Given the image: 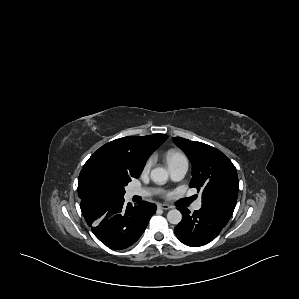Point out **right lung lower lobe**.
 <instances>
[{
	"mask_svg": "<svg viewBox=\"0 0 299 299\" xmlns=\"http://www.w3.org/2000/svg\"><path fill=\"white\" fill-rule=\"evenodd\" d=\"M81 211L94 235L111 249L121 250L135 243L146 229L156 207L142 202L134 207L124 198L107 200L87 197Z\"/></svg>",
	"mask_w": 299,
	"mask_h": 299,
	"instance_id": "1",
	"label": "right lung lower lobe"
}]
</instances>
